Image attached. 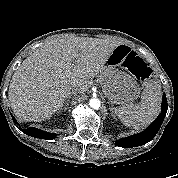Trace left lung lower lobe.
<instances>
[{"mask_svg":"<svg viewBox=\"0 0 178 178\" xmlns=\"http://www.w3.org/2000/svg\"><path fill=\"white\" fill-rule=\"evenodd\" d=\"M167 108L168 104L166 100V95L163 94L161 114L152 122V124H150L146 130L139 134H134L130 137L117 140L116 145L119 147L130 148L141 146L151 141L161 127V124L166 116Z\"/></svg>","mask_w":178,"mask_h":178,"instance_id":"0a47b994","label":"left lung lower lobe"}]
</instances>
